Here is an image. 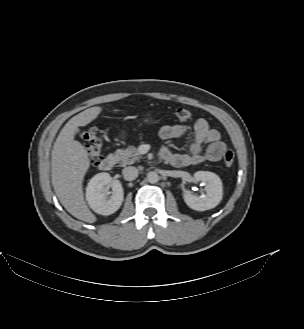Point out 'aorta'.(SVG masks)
<instances>
[{
  "label": "aorta",
  "instance_id": "obj_1",
  "mask_svg": "<svg viewBox=\"0 0 304 329\" xmlns=\"http://www.w3.org/2000/svg\"><path fill=\"white\" fill-rule=\"evenodd\" d=\"M147 180L149 183H157L159 181V175L155 171H151L147 174Z\"/></svg>",
  "mask_w": 304,
  "mask_h": 329
}]
</instances>
